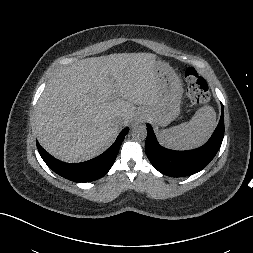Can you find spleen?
Here are the masks:
<instances>
[{"label": "spleen", "instance_id": "1", "mask_svg": "<svg viewBox=\"0 0 253 253\" xmlns=\"http://www.w3.org/2000/svg\"><path fill=\"white\" fill-rule=\"evenodd\" d=\"M216 126L213 107L199 108L189 122L181 123L158 133L162 145L173 150H190L208 140Z\"/></svg>", "mask_w": 253, "mask_h": 253}]
</instances>
